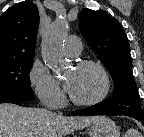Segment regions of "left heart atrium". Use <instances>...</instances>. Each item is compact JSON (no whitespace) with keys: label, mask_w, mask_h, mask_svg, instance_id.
<instances>
[{"label":"left heart atrium","mask_w":144,"mask_h":137,"mask_svg":"<svg viewBox=\"0 0 144 137\" xmlns=\"http://www.w3.org/2000/svg\"><path fill=\"white\" fill-rule=\"evenodd\" d=\"M66 89L70 92V89H71V83L70 82H66Z\"/></svg>","instance_id":"obj_1"}]
</instances>
